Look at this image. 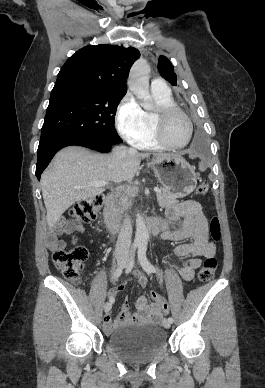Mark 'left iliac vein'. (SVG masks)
I'll return each instance as SVG.
<instances>
[{
  "label": "left iliac vein",
  "mask_w": 265,
  "mask_h": 388,
  "mask_svg": "<svg viewBox=\"0 0 265 388\" xmlns=\"http://www.w3.org/2000/svg\"><path fill=\"white\" fill-rule=\"evenodd\" d=\"M133 265H134V262H129V263L127 264V267H133ZM163 326H164V328H166V329H169V328L171 327V323L168 321V319H164V320H163Z\"/></svg>",
  "instance_id": "1"
}]
</instances>
